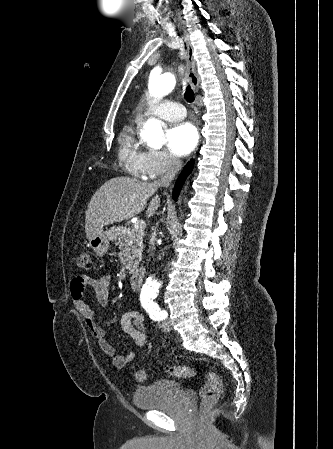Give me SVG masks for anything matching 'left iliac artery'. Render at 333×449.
<instances>
[{
	"instance_id": "obj_1",
	"label": "left iliac artery",
	"mask_w": 333,
	"mask_h": 449,
	"mask_svg": "<svg viewBox=\"0 0 333 449\" xmlns=\"http://www.w3.org/2000/svg\"><path fill=\"white\" fill-rule=\"evenodd\" d=\"M142 304L151 319L159 321L167 317V312L165 310H160L158 304L154 302L152 299L145 298L142 301Z\"/></svg>"
}]
</instances>
